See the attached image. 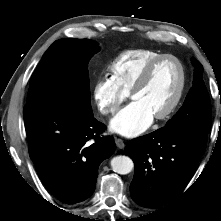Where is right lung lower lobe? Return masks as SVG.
<instances>
[{
  "instance_id": "obj_1",
  "label": "right lung lower lobe",
  "mask_w": 221,
  "mask_h": 221,
  "mask_svg": "<svg viewBox=\"0 0 221 221\" xmlns=\"http://www.w3.org/2000/svg\"><path fill=\"white\" fill-rule=\"evenodd\" d=\"M30 157L46 188L74 204L95 190L98 167L115 151L112 137H101L104 124L91 112L67 103L38 101L24 108Z\"/></svg>"
}]
</instances>
